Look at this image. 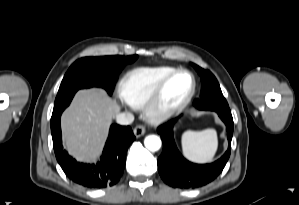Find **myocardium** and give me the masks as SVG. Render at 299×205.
<instances>
[{
	"label": "myocardium",
	"mask_w": 299,
	"mask_h": 205,
	"mask_svg": "<svg viewBox=\"0 0 299 205\" xmlns=\"http://www.w3.org/2000/svg\"><path fill=\"white\" fill-rule=\"evenodd\" d=\"M182 74L188 75L190 77L191 87L189 92L178 103L171 106L164 105L163 98L168 85L177 76ZM195 91H196V80L194 75L190 71L185 69L175 70L160 82V84L157 86L152 96L146 103L145 114L147 119L154 124H158L174 117L189 104V102L192 100L195 94Z\"/></svg>",
	"instance_id": "obj_1"
}]
</instances>
